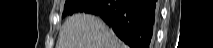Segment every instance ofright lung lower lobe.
I'll return each instance as SVG.
<instances>
[{
	"label": "right lung lower lobe",
	"instance_id": "98d812e1",
	"mask_svg": "<svg viewBox=\"0 0 213 48\" xmlns=\"http://www.w3.org/2000/svg\"><path fill=\"white\" fill-rule=\"evenodd\" d=\"M82 12L101 17L131 48H149L156 0H90Z\"/></svg>",
	"mask_w": 213,
	"mask_h": 48
}]
</instances>
